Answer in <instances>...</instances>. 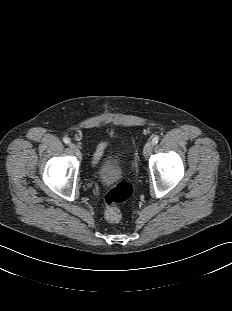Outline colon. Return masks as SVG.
I'll return each instance as SVG.
<instances>
[{
  "mask_svg": "<svg viewBox=\"0 0 232 311\" xmlns=\"http://www.w3.org/2000/svg\"><path fill=\"white\" fill-rule=\"evenodd\" d=\"M132 193V184L127 180H123L105 194L104 218L108 222L117 223L120 221L122 214L118 205L128 200Z\"/></svg>",
  "mask_w": 232,
  "mask_h": 311,
  "instance_id": "colon-1",
  "label": "colon"
}]
</instances>
